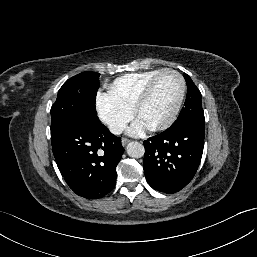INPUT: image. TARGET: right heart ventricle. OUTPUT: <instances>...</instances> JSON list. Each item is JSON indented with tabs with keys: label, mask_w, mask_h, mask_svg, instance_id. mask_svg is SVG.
<instances>
[{
	"label": "right heart ventricle",
	"mask_w": 257,
	"mask_h": 257,
	"mask_svg": "<svg viewBox=\"0 0 257 257\" xmlns=\"http://www.w3.org/2000/svg\"><path fill=\"white\" fill-rule=\"evenodd\" d=\"M163 69L126 74L115 79L108 87V96L114 102L133 110L136 100L145 86Z\"/></svg>",
	"instance_id": "1"
}]
</instances>
